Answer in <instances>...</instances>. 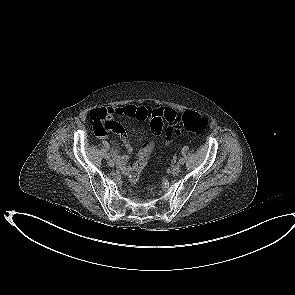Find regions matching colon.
Returning a JSON list of instances; mask_svg holds the SVG:
<instances>
[{"mask_svg": "<svg viewBox=\"0 0 295 295\" xmlns=\"http://www.w3.org/2000/svg\"><path fill=\"white\" fill-rule=\"evenodd\" d=\"M168 128L170 130H187L193 133H203L207 126L208 120L206 117L195 111H186L183 114L168 113L167 115ZM156 148L154 141H149L141 147L138 154L137 161L132 165L128 171V178L131 185H136L141 172L147 165L150 153Z\"/></svg>", "mask_w": 295, "mask_h": 295, "instance_id": "5ec220e1", "label": "colon"}]
</instances>
